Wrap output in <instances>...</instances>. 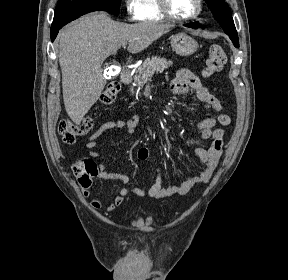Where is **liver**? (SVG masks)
<instances>
[{
    "label": "liver",
    "instance_id": "obj_1",
    "mask_svg": "<svg viewBox=\"0 0 288 280\" xmlns=\"http://www.w3.org/2000/svg\"><path fill=\"white\" fill-rule=\"evenodd\" d=\"M171 25L126 24L112 20L105 12L81 17L59 33V64L63 99L71 120L80 124L100 97L106 79L102 64L116 54L124 42L130 53H139L167 33Z\"/></svg>",
    "mask_w": 288,
    "mask_h": 280
}]
</instances>
